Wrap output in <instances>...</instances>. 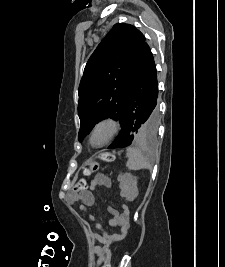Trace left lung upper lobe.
I'll use <instances>...</instances> for the list:
<instances>
[{
  "label": "left lung upper lobe",
  "mask_w": 225,
  "mask_h": 267,
  "mask_svg": "<svg viewBox=\"0 0 225 267\" xmlns=\"http://www.w3.org/2000/svg\"><path fill=\"white\" fill-rule=\"evenodd\" d=\"M145 43L144 35L136 27L117 23L91 55L78 89L79 141L105 118L122 122L132 77ZM147 125L140 123L134 141L154 138L156 128L147 132Z\"/></svg>",
  "instance_id": "obj_1"
}]
</instances>
